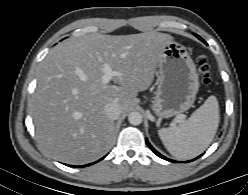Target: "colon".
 Returning <instances> with one entry per match:
<instances>
[{
	"label": "colon",
	"mask_w": 248,
	"mask_h": 195,
	"mask_svg": "<svg viewBox=\"0 0 248 195\" xmlns=\"http://www.w3.org/2000/svg\"><path fill=\"white\" fill-rule=\"evenodd\" d=\"M199 72L202 77V81L205 85H210L212 83V67L209 62L204 57L198 58Z\"/></svg>",
	"instance_id": "obj_1"
}]
</instances>
